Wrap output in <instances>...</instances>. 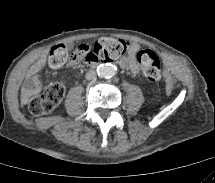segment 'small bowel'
I'll list each match as a JSON object with an SVG mask.
<instances>
[{
  "mask_svg": "<svg viewBox=\"0 0 215 183\" xmlns=\"http://www.w3.org/2000/svg\"><path fill=\"white\" fill-rule=\"evenodd\" d=\"M139 51V46L136 43L129 42L127 46V56L120 59V66L135 74L138 72V65L136 63V55ZM78 62L70 59L69 66H76ZM44 66V59H39L35 64H33L28 72L26 79L24 80L21 87V101L22 103H27L32 96L37 94L42 88V82L40 79V71Z\"/></svg>",
  "mask_w": 215,
  "mask_h": 183,
  "instance_id": "1",
  "label": "small bowel"
}]
</instances>
